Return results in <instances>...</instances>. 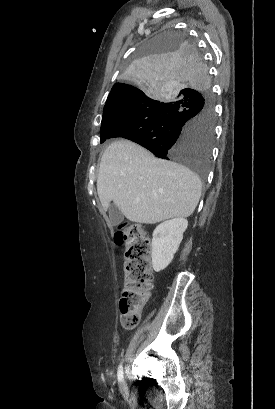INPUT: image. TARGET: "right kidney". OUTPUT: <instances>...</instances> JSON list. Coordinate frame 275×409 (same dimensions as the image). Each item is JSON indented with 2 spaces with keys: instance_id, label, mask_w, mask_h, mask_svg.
Masks as SVG:
<instances>
[{
  "instance_id": "1",
  "label": "right kidney",
  "mask_w": 275,
  "mask_h": 409,
  "mask_svg": "<svg viewBox=\"0 0 275 409\" xmlns=\"http://www.w3.org/2000/svg\"><path fill=\"white\" fill-rule=\"evenodd\" d=\"M188 227L187 219H172L165 221L153 231L152 265L159 273L171 263Z\"/></svg>"
}]
</instances>
